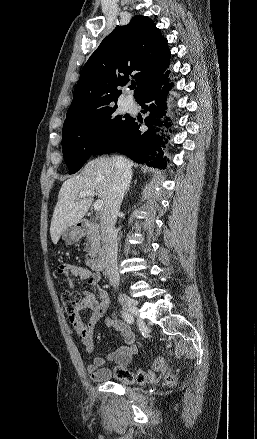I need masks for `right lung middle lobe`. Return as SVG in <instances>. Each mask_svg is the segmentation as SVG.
<instances>
[{
    "label": "right lung middle lobe",
    "instance_id": "obj_1",
    "mask_svg": "<svg viewBox=\"0 0 257 439\" xmlns=\"http://www.w3.org/2000/svg\"><path fill=\"white\" fill-rule=\"evenodd\" d=\"M107 106L90 114L64 122L63 156L71 173L77 172L87 159L104 143L116 137L131 117L115 113Z\"/></svg>",
    "mask_w": 257,
    "mask_h": 439
}]
</instances>
